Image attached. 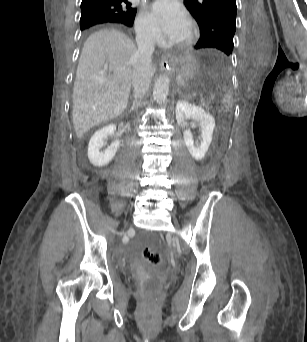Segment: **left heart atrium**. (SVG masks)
Returning a JSON list of instances; mask_svg holds the SVG:
<instances>
[{
	"label": "left heart atrium",
	"instance_id": "left-heart-atrium-1",
	"mask_svg": "<svg viewBox=\"0 0 307 342\" xmlns=\"http://www.w3.org/2000/svg\"><path fill=\"white\" fill-rule=\"evenodd\" d=\"M146 16L153 29V42L173 44L183 42L188 37L189 21L175 4L168 1L157 2Z\"/></svg>",
	"mask_w": 307,
	"mask_h": 342
}]
</instances>
